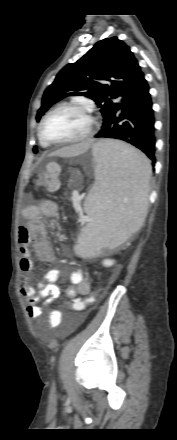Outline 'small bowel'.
Returning a JSON list of instances; mask_svg holds the SVG:
<instances>
[{
	"mask_svg": "<svg viewBox=\"0 0 177 440\" xmlns=\"http://www.w3.org/2000/svg\"><path fill=\"white\" fill-rule=\"evenodd\" d=\"M23 215L27 219V225L20 227L18 231L19 242V263L23 272L20 291L26 298V312L30 319L37 320L42 314V308L48 306L61 297V288L56 282L61 278L62 273L58 269H50L43 280L33 285L30 284L29 277L33 270L32 244L37 257L43 262H53L55 260L52 248L45 232L44 219H56L58 217V207L52 201H41L31 204L24 208ZM70 284L66 288L68 298H79L90 293L91 283L80 268L74 269L69 276ZM65 314L61 311H52L49 315V326L58 327Z\"/></svg>",
	"mask_w": 177,
	"mask_h": 440,
	"instance_id": "1",
	"label": "small bowel"
}]
</instances>
